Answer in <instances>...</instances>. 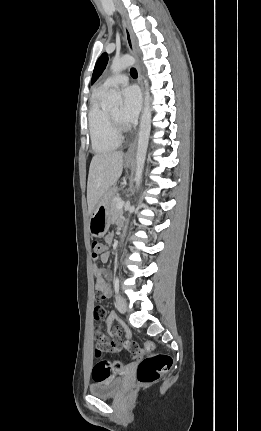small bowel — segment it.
I'll use <instances>...</instances> for the list:
<instances>
[{"label": "small bowel", "mask_w": 261, "mask_h": 431, "mask_svg": "<svg viewBox=\"0 0 261 431\" xmlns=\"http://www.w3.org/2000/svg\"><path fill=\"white\" fill-rule=\"evenodd\" d=\"M107 242L113 241V234H108L106 236ZM102 262H107L109 260V254L107 253L103 257L100 258ZM94 276H95V286H94V300L95 304L93 305V317L95 320V331L96 335L94 336L96 344L103 349L118 351L122 347V342L119 336V330L116 327L112 326V322L116 319L115 313H110L108 318L105 316L108 313V310L105 308L106 298L111 296V287H110V274L107 271L102 270L101 268L95 266L93 268ZM107 320V321H106ZM111 336L110 342H107L104 337V330L106 329ZM126 350L129 355H136L137 351H139L140 346L137 343L131 344L129 341V334H127V340L124 343ZM112 364V363H110ZM117 374V373H112Z\"/></svg>", "instance_id": "obj_1"}]
</instances>
